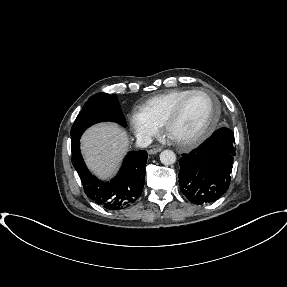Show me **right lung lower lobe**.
<instances>
[{
    "label": "right lung lower lobe",
    "mask_w": 287,
    "mask_h": 287,
    "mask_svg": "<svg viewBox=\"0 0 287 287\" xmlns=\"http://www.w3.org/2000/svg\"><path fill=\"white\" fill-rule=\"evenodd\" d=\"M80 142L71 145L72 164L83 184L87 196L107 210H120L134 203L142 193L145 181L147 152H129L117 176L103 182L87 169L80 153Z\"/></svg>",
    "instance_id": "98d812e1"
}]
</instances>
